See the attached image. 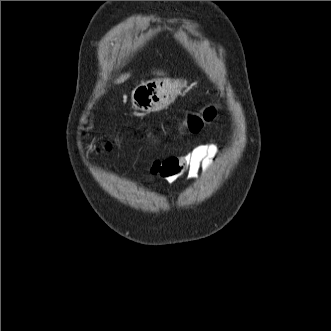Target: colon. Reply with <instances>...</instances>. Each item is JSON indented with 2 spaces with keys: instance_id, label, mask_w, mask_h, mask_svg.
Returning <instances> with one entry per match:
<instances>
[{
  "instance_id": "1",
  "label": "colon",
  "mask_w": 331,
  "mask_h": 331,
  "mask_svg": "<svg viewBox=\"0 0 331 331\" xmlns=\"http://www.w3.org/2000/svg\"><path fill=\"white\" fill-rule=\"evenodd\" d=\"M216 110L213 106L206 107L200 114H191L187 119V129L191 133H198L204 122H208L214 118ZM106 149L111 147L110 144H106Z\"/></svg>"
}]
</instances>
